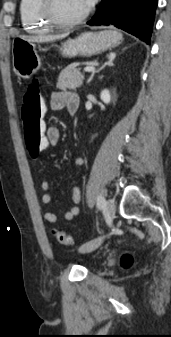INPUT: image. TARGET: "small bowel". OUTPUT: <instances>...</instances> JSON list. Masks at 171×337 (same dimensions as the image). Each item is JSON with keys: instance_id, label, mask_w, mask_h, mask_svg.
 Returning a JSON list of instances; mask_svg holds the SVG:
<instances>
[{"instance_id": "c3829d8e", "label": "small bowel", "mask_w": 171, "mask_h": 337, "mask_svg": "<svg viewBox=\"0 0 171 337\" xmlns=\"http://www.w3.org/2000/svg\"><path fill=\"white\" fill-rule=\"evenodd\" d=\"M72 104H77L79 106V97L75 93L69 92V91H56L51 94L49 99V110L50 111H59L64 108L68 110L69 106ZM46 138L48 143L51 146H55L58 144L60 140V130L56 126H48L45 130ZM73 165L75 167H83L85 164V159L81 156H76L73 158L72 161ZM40 187L45 193L41 197V201L44 204L51 203V196L47 191L49 190L50 183L48 180L44 179L40 183ZM82 196H81V190L79 185L76 183L71 188V200L73 202V205L63 213V217L66 220H72L74 217H76L80 213V208L78 204L81 202ZM45 220L50 224H56L58 221L57 215L51 211H46Z\"/></svg>"}]
</instances>
